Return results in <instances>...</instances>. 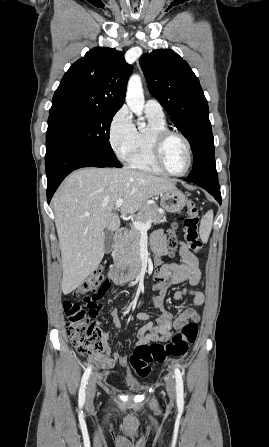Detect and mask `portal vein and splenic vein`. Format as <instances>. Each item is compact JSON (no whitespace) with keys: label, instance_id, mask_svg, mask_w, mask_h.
<instances>
[{"label":"portal vein and splenic vein","instance_id":"18ae733b","mask_svg":"<svg viewBox=\"0 0 269 447\" xmlns=\"http://www.w3.org/2000/svg\"><path fill=\"white\" fill-rule=\"evenodd\" d=\"M122 204H123L122 198H120V200H116L115 210H119ZM133 225L134 227H136V229H139V231H147V229H150L151 227V222H147V224H143V222H133Z\"/></svg>","mask_w":269,"mask_h":447}]
</instances>
